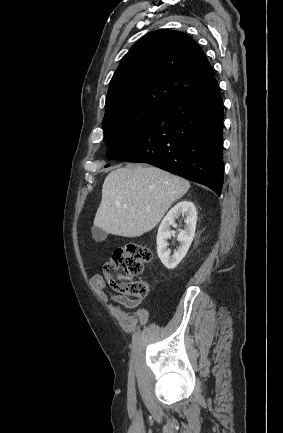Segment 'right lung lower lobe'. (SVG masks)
Masks as SVG:
<instances>
[{"instance_id": "98d812e1", "label": "right lung lower lobe", "mask_w": 283, "mask_h": 433, "mask_svg": "<svg viewBox=\"0 0 283 433\" xmlns=\"http://www.w3.org/2000/svg\"><path fill=\"white\" fill-rule=\"evenodd\" d=\"M222 127L223 100L215 81L164 107L111 159L149 163L220 195Z\"/></svg>"}]
</instances>
